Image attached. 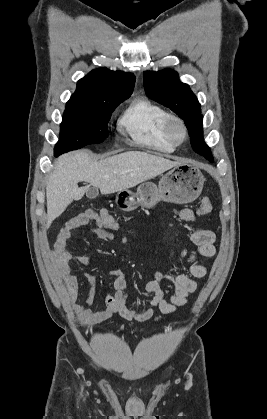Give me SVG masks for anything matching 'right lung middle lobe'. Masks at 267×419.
Here are the masks:
<instances>
[{"label": "right lung middle lobe", "mask_w": 267, "mask_h": 419, "mask_svg": "<svg viewBox=\"0 0 267 419\" xmlns=\"http://www.w3.org/2000/svg\"><path fill=\"white\" fill-rule=\"evenodd\" d=\"M130 95L90 101H68L61 123L55 156L108 137L107 124L113 110Z\"/></svg>", "instance_id": "dd1d6c3e"}]
</instances>
